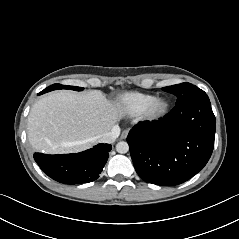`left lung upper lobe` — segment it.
<instances>
[{"instance_id": "obj_1", "label": "left lung upper lobe", "mask_w": 239, "mask_h": 239, "mask_svg": "<svg viewBox=\"0 0 239 239\" xmlns=\"http://www.w3.org/2000/svg\"><path fill=\"white\" fill-rule=\"evenodd\" d=\"M163 91L177 96L176 105L188 101L194 97L206 94L203 90L190 83H181L173 86L162 88Z\"/></svg>"}]
</instances>
